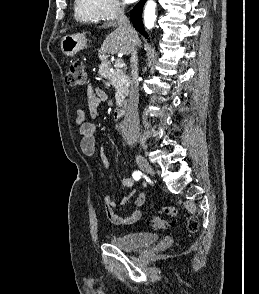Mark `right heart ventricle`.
<instances>
[{"label": "right heart ventricle", "mask_w": 259, "mask_h": 294, "mask_svg": "<svg viewBox=\"0 0 259 294\" xmlns=\"http://www.w3.org/2000/svg\"><path fill=\"white\" fill-rule=\"evenodd\" d=\"M74 15L82 22L97 23L103 19L96 0H75Z\"/></svg>", "instance_id": "e07e8e85"}]
</instances>
